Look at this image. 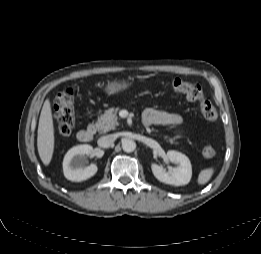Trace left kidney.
<instances>
[{
  "instance_id": "obj_1",
  "label": "left kidney",
  "mask_w": 261,
  "mask_h": 254,
  "mask_svg": "<svg viewBox=\"0 0 261 254\" xmlns=\"http://www.w3.org/2000/svg\"><path fill=\"white\" fill-rule=\"evenodd\" d=\"M166 160L177 164L171 171H166L162 166L152 164L151 169L154 176L163 183L182 186L190 182L192 177V166L189 158L177 151L170 150L165 155Z\"/></svg>"
}]
</instances>
